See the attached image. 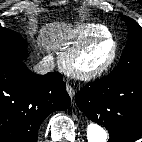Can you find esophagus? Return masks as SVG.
Instances as JSON below:
<instances>
[{
  "instance_id": "obj_1",
  "label": "esophagus",
  "mask_w": 142,
  "mask_h": 142,
  "mask_svg": "<svg viewBox=\"0 0 142 142\" xmlns=\"http://www.w3.org/2000/svg\"><path fill=\"white\" fill-rule=\"evenodd\" d=\"M66 90L71 98L75 96V90L69 84L66 85Z\"/></svg>"
}]
</instances>
